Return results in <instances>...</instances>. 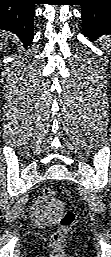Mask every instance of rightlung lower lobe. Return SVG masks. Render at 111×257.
I'll return each instance as SVG.
<instances>
[{
    "label": "right lung lower lobe",
    "mask_w": 111,
    "mask_h": 257,
    "mask_svg": "<svg viewBox=\"0 0 111 257\" xmlns=\"http://www.w3.org/2000/svg\"><path fill=\"white\" fill-rule=\"evenodd\" d=\"M34 0H0V29L15 33L28 46L33 40Z\"/></svg>",
    "instance_id": "obj_1"
}]
</instances>
